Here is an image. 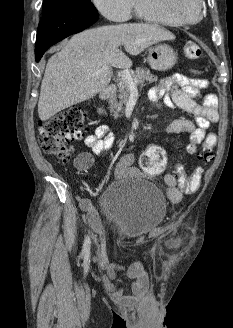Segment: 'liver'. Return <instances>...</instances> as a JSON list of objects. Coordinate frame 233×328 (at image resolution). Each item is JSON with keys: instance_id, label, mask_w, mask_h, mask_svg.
I'll return each mask as SVG.
<instances>
[{"instance_id": "obj_1", "label": "liver", "mask_w": 233, "mask_h": 328, "mask_svg": "<svg viewBox=\"0 0 233 328\" xmlns=\"http://www.w3.org/2000/svg\"><path fill=\"white\" fill-rule=\"evenodd\" d=\"M175 36L157 25L125 23L82 31L65 42L48 61L42 79L38 114L42 121L94 97L110 82L112 68H129L136 56L159 41ZM106 68L99 74L100 69Z\"/></svg>"}]
</instances>
